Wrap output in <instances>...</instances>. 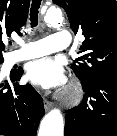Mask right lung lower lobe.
I'll return each mask as SVG.
<instances>
[{
    "label": "right lung lower lobe",
    "instance_id": "98d812e1",
    "mask_svg": "<svg viewBox=\"0 0 117 136\" xmlns=\"http://www.w3.org/2000/svg\"><path fill=\"white\" fill-rule=\"evenodd\" d=\"M23 70L0 80V134L5 136H36L44 115L41 96L30 85L18 84Z\"/></svg>",
    "mask_w": 117,
    "mask_h": 136
}]
</instances>
